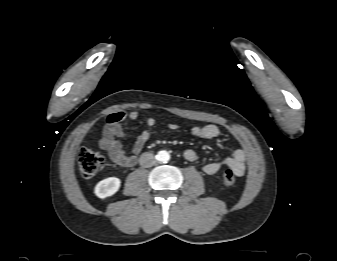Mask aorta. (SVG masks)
<instances>
[{"instance_id": "obj_1", "label": "aorta", "mask_w": 337, "mask_h": 261, "mask_svg": "<svg viewBox=\"0 0 337 261\" xmlns=\"http://www.w3.org/2000/svg\"><path fill=\"white\" fill-rule=\"evenodd\" d=\"M157 159L160 161V162H163V163H166L169 161L170 159V155L167 151H159L158 154H157Z\"/></svg>"}]
</instances>
